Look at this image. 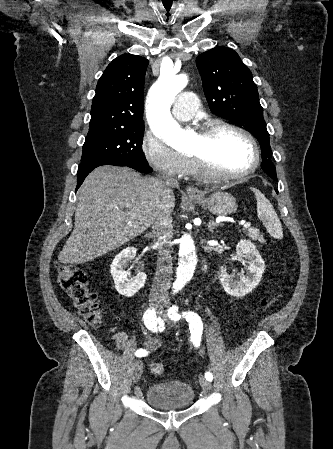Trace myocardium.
Masks as SVG:
<instances>
[{
    "instance_id": "f54148a6",
    "label": "myocardium",
    "mask_w": 333,
    "mask_h": 449,
    "mask_svg": "<svg viewBox=\"0 0 333 449\" xmlns=\"http://www.w3.org/2000/svg\"><path fill=\"white\" fill-rule=\"evenodd\" d=\"M219 130H230V131L236 132L239 135H241L242 137H244L250 143L252 151H253L252 164L247 169H245L243 171L233 173V174L221 175V174H217V173L213 172L212 170H210L209 167L206 165L203 158H201L200 156L191 154L189 156H190L192 163L194 164V167H195L197 173L209 181L218 182V183L237 181V180L245 178L248 175H250L251 173H253L257 169V167L260 163V150H259L258 144H257L254 136L246 129H244L240 126H237L235 124L225 122V121L206 122L201 126L198 134L203 137H207Z\"/></svg>"
}]
</instances>
